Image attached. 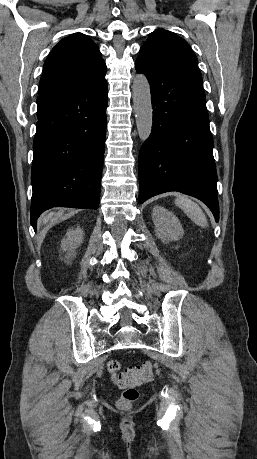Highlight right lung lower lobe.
<instances>
[{"instance_id":"right-lung-lower-lobe-1","label":"right lung lower lobe","mask_w":257,"mask_h":459,"mask_svg":"<svg viewBox=\"0 0 257 459\" xmlns=\"http://www.w3.org/2000/svg\"><path fill=\"white\" fill-rule=\"evenodd\" d=\"M105 76L79 88L37 98L31 224L45 210L97 209L106 136Z\"/></svg>"}]
</instances>
